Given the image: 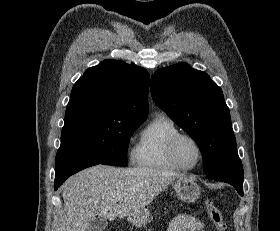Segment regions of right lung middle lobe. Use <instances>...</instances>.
<instances>
[{"instance_id": "obj_1", "label": "right lung middle lobe", "mask_w": 280, "mask_h": 231, "mask_svg": "<svg viewBox=\"0 0 280 231\" xmlns=\"http://www.w3.org/2000/svg\"><path fill=\"white\" fill-rule=\"evenodd\" d=\"M142 123L116 118L65 119L56 158L125 167L129 139Z\"/></svg>"}]
</instances>
